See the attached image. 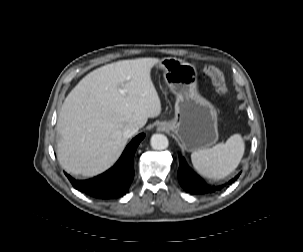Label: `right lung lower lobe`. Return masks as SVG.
Wrapping results in <instances>:
<instances>
[{
    "instance_id": "98d812e1",
    "label": "right lung lower lobe",
    "mask_w": 303,
    "mask_h": 252,
    "mask_svg": "<svg viewBox=\"0 0 303 252\" xmlns=\"http://www.w3.org/2000/svg\"><path fill=\"white\" fill-rule=\"evenodd\" d=\"M144 134L136 136L126 147L118 162L105 173L89 180L78 181L66 174L74 188L99 199L124 195L134 177L133 157Z\"/></svg>"
}]
</instances>
